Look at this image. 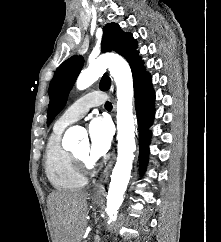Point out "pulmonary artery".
Listing matches in <instances>:
<instances>
[{
    "label": "pulmonary artery",
    "mask_w": 221,
    "mask_h": 242,
    "mask_svg": "<svg viewBox=\"0 0 221 242\" xmlns=\"http://www.w3.org/2000/svg\"><path fill=\"white\" fill-rule=\"evenodd\" d=\"M104 100L105 95L101 92H90L83 95L63 112L55 126L66 128L85 116L91 107L100 105Z\"/></svg>",
    "instance_id": "obj_1"
}]
</instances>
